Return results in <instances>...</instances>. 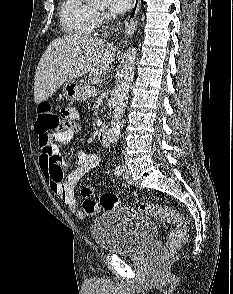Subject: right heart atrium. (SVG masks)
<instances>
[{
    "label": "right heart atrium",
    "instance_id": "obj_1",
    "mask_svg": "<svg viewBox=\"0 0 233 294\" xmlns=\"http://www.w3.org/2000/svg\"><path fill=\"white\" fill-rule=\"evenodd\" d=\"M98 23H102L108 19V15L105 12H97Z\"/></svg>",
    "mask_w": 233,
    "mask_h": 294
}]
</instances>
